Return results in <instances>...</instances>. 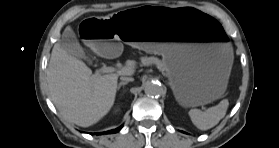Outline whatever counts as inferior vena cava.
Here are the masks:
<instances>
[{
  "label": "inferior vena cava",
  "instance_id": "obj_1",
  "mask_svg": "<svg viewBox=\"0 0 279 148\" xmlns=\"http://www.w3.org/2000/svg\"><path fill=\"white\" fill-rule=\"evenodd\" d=\"M123 82H125V81H133V78L132 77H121L120 78Z\"/></svg>",
  "mask_w": 279,
  "mask_h": 148
}]
</instances>
